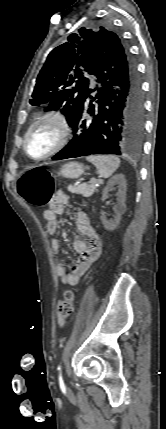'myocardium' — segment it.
I'll use <instances>...</instances> for the list:
<instances>
[{
	"instance_id": "myocardium-1",
	"label": "myocardium",
	"mask_w": 166,
	"mask_h": 429,
	"mask_svg": "<svg viewBox=\"0 0 166 429\" xmlns=\"http://www.w3.org/2000/svg\"><path fill=\"white\" fill-rule=\"evenodd\" d=\"M45 122L56 125L58 129V140L55 146L46 154L40 157H34L28 152V148H27L28 139L30 134L33 132V130L36 127H38L40 124ZM69 137H70V126L66 115L59 110H49L44 112L40 116H38L26 130L24 134V139H23V150L25 154L32 160H35V161L45 160L54 156L59 151H61L67 145L69 141Z\"/></svg>"
}]
</instances>
